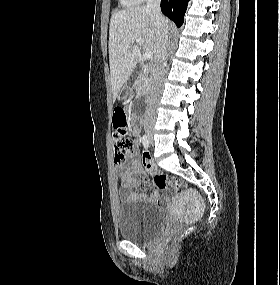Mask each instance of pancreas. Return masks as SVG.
Wrapping results in <instances>:
<instances>
[{"label":"pancreas","instance_id":"obj_1","mask_svg":"<svg viewBox=\"0 0 280 285\" xmlns=\"http://www.w3.org/2000/svg\"><path fill=\"white\" fill-rule=\"evenodd\" d=\"M151 80V74L146 69H143L137 79L136 93L138 95L147 93L151 85Z\"/></svg>","mask_w":280,"mask_h":285}]
</instances>
